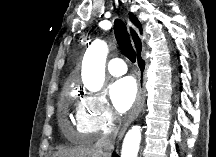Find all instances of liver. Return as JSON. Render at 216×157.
Masks as SVG:
<instances>
[{"label": "liver", "mask_w": 216, "mask_h": 157, "mask_svg": "<svg viewBox=\"0 0 216 157\" xmlns=\"http://www.w3.org/2000/svg\"><path fill=\"white\" fill-rule=\"evenodd\" d=\"M54 157H98V153L95 147L80 146L59 151Z\"/></svg>", "instance_id": "obj_1"}]
</instances>
